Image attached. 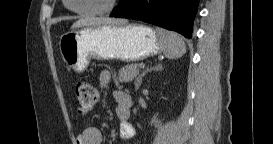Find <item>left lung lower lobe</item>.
<instances>
[{
  "mask_svg": "<svg viewBox=\"0 0 273 144\" xmlns=\"http://www.w3.org/2000/svg\"><path fill=\"white\" fill-rule=\"evenodd\" d=\"M199 0H121L111 17L142 20L192 37Z\"/></svg>",
  "mask_w": 273,
  "mask_h": 144,
  "instance_id": "0a47b994",
  "label": "left lung lower lobe"
}]
</instances>
